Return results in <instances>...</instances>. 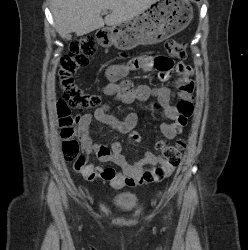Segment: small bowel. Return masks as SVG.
<instances>
[{
    "instance_id": "small-bowel-1",
    "label": "small bowel",
    "mask_w": 248,
    "mask_h": 250,
    "mask_svg": "<svg viewBox=\"0 0 248 250\" xmlns=\"http://www.w3.org/2000/svg\"><path fill=\"white\" fill-rule=\"evenodd\" d=\"M132 70L145 72L156 71L162 80H166L173 72L180 75L178 105L170 104L171 89L167 86L151 87L146 84L133 85L129 80H122L125 73ZM192 69L184 63L173 64L165 57L143 55L134 58L126 64H116L106 70L108 83L102 87V92L106 96H112L123 104H132L136 100L146 101L155 98L162 109L164 117L169 122L160 126L163 136L169 140L174 139L181 133L188 120L186 108L193 106L194 82L191 79ZM110 105L105 103L98 107L93 114L87 113L81 116L77 127V136L81 142L83 150L88 154H95L102 162H112L118 165L121 172H116L112 168H94L92 165L79 167L74 164V169L88 181L102 179L110 182L112 187L119 189L124 186H133L149 181H159L168 177L174 168L168 166L164 159L151 151L145 152L144 156L130 163L122 153V145L118 141H113L110 145L94 143L90 137V127L93 119L111 127L113 130L130 134L132 141H139L140 137L133 132L138 117L135 113H127L122 118H117L109 113ZM158 165V167L168 169L162 179H146L144 166Z\"/></svg>"
}]
</instances>
